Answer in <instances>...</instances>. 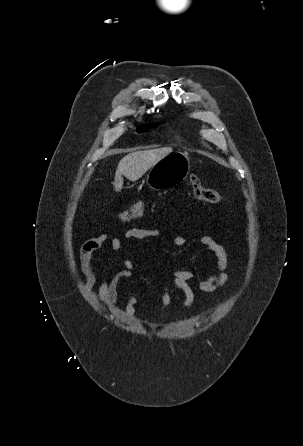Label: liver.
Masks as SVG:
<instances>
[{
    "label": "liver",
    "mask_w": 303,
    "mask_h": 446,
    "mask_svg": "<svg viewBox=\"0 0 303 446\" xmlns=\"http://www.w3.org/2000/svg\"><path fill=\"white\" fill-rule=\"evenodd\" d=\"M171 152L172 148L168 147L129 153L118 163L113 183L114 189L118 192L122 189V175L130 181H136L141 178L148 169Z\"/></svg>",
    "instance_id": "liver-1"
}]
</instances>
